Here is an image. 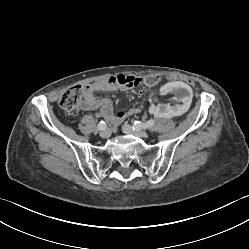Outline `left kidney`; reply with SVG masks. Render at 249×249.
<instances>
[{"instance_id":"5707ae66","label":"left kidney","mask_w":249,"mask_h":249,"mask_svg":"<svg viewBox=\"0 0 249 249\" xmlns=\"http://www.w3.org/2000/svg\"><path fill=\"white\" fill-rule=\"evenodd\" d=\"M161 96L165 100H172L170 104H152L150 113L152 115H184L191 108L192 93L190 84L184 80H174L161 84Z\"/></svg>"}]
</instances>
